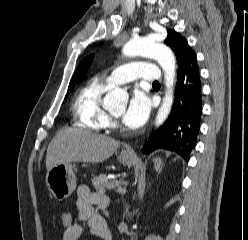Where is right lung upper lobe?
I'll return each instance as SVG.
<instances>
[{
    "label": "right lung upper lobe",
    "instance_id": "obj_1",
    "mask_svg": "<svg viewBox=\"0 0 248 240\" xmlns=\"http://www.w3.org/2000/svg\"><path fill=\"white\" fill-rule=\"evenodd\" d=\"M92 60H93V55L88 56L87 58H85L81 62L78 69L76 70L75 74L73 75L71 82H79L82 79V77L84 76V74L88 70Z\"/></svg>",
    "mask_w": 248,
    "mask_h": 240
}]
</instances>
